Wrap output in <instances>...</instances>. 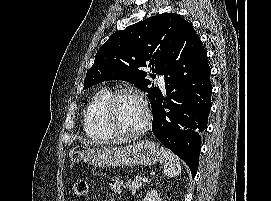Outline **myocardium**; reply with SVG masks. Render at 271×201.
I'll list each match as a JSON object with an SVG mask.
<instances>
[{"label": "myocardium", "instance_id": "1", "mask_svg": "<svg viewBox=\"0 0 271 201\" xmlns=\"http://www.w3.org/2000/svg\"><path fill=\"white\" fill-rule=\"evenodd\" d=\"M123 97L135 98L139 100L144 107L145 122L140 128L136 130H126L122 128L116 120L115 107L117 102ZM104 116L111 129L118 136H127V137L139 136L145 133L151 127L152 124V113L147 100L140 93L132 89H121L112 93L104 106Z\"/></svg>", "mask_w": 271, "mask_h": 201}]
</instances>
